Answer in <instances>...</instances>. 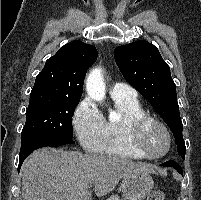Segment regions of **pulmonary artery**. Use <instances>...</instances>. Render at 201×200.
I'll return each mask as SVG.
<instances>
[{"mask_svg":"<svg viewBox=\"0 0 201 200\" xmlns=\"http://www.w3.org/2000/svg\"><path fill=\"white\" fill-rule=\"evenodd\" d=\"M111 97H125L134 99L137 96L136 91L124 83H115L110 90Z\"/></svg>","mask_w":201,"mask_h":200,"instance_id":"obj_1","label":"pulmonary artery"}]
</instances>
